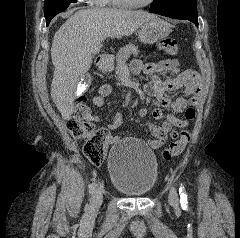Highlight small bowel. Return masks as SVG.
Instances as JSON below:
<instances>
[{"label":"small bowel","mask_w":240,"mask_h":238,"mask_svg":"<svg viewBox=\"0 0 240 238\" xmlns=\"http://www.w3.org/2000/svg\"><path fill=\"white\" fill-rule=\"evenodd\" d=\"M134 73L143 71L152 77V85L149 90L154 94L158 104L163 108L171 109L177 113H183L182 118H178L173 114H166L165 121L161 125H156L149 120L146 124L150 132L155 137L148 141V144L153 149H159L167 141L169 137H174L177 132L173 131V127L184 128L195 117L197 98L201 91V80L199 74L195 70H187L183 73L179 72L177 62L175 60H164L157 64H149L142 66L140 61H134L131 65ZM166 72H171V76L161 78L160 75ZM183 88V94L177 99L172 100L166 96L167 92ZM112 88L110 85H102L98 93L93 97V104L97 107H102L105 104L106 98L111 94ZM148 114L147 108L143 107L139 110L141 117H146ZM164 116L161 109L153 110V117L160 119ZM100 120L99 116L89 114L87 121L96 123ZM123 117L120 113H116L113 120L107 125L108 144H114L119 141V136L112 134L118 127L123 124Z\"/></svg>","instance_id":"small-bowel-1"}]
</instances>
